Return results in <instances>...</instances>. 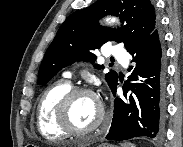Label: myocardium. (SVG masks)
<instances>
[{
    "instance_id": "obj_1",
    "label": "myocardium",
    "mask_w": 183,
    "mask_h": 147,
    "mask_svg": "<svg viewBox=\"0 0 183 147\" xmlns=\"http://www.w3.org/2000/svg\"><path fill=\"white\" fill-rule=\"evenodd\" d=\"M79 95H88L92 97L96 101L99 110L96 121L93 123V125L85 130H78L74 128L69 115L71 102ZM55 117L58 125L67 134L83 136L94 132L103 123L105 119V108L100 98L92 90L83 87H73L68 90L59 100L56 107Z\"/></svg>"
}]
</instances>
